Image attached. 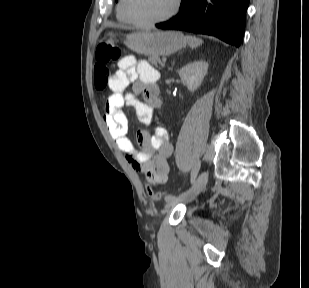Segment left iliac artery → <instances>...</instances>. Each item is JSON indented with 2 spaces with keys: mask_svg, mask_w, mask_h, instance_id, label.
I'll return each instance as SVG.
<instances>
[{
  "mask_svg": "<svg viewBox=\"0 0 309 288\" xmlns=\"http://www.w3.org/2000/svg\"><path fill=\"white\" fill-rule=\"evenodd\" d=\"M199 167H200V164H197V165L195 166L194 170H193L192 173H191V184H194V182H195L196 176H197L198 171H199ZM189 192H190V190L185 191V192H183L182 194H180L178 197L169 195V196L166 197V201H170V200H172V199H174V198H183V197H186V196L189 194Z\"/></svg>",
  "mask_w": 309,
  "mask_h": 288,
  "instance_id": "1",
  "label": "left iliac artery"
}]
</instances>
